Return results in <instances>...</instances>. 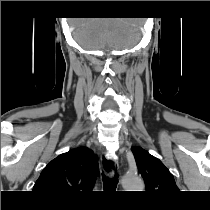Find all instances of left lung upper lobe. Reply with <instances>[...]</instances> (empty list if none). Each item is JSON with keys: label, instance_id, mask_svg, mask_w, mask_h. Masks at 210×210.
I'll return each mask as SVG.
<instances>
[{"label": "left lung upper lobe", "instance_id": "5c2ea615", "mask_svg": "<svg viewBox=\"0 0 210 210\" xmlns=\"http://www.w3.org/2000/svg\"><path fill=\"white\" fill-rule=\"evenodd\" d=\"M131 150L147 192L171 194L178 191L173 175L159 159L141 147L133 146Z\"/></svg>", "mask_w": 210, "mask_h": 210}]
</instances>
